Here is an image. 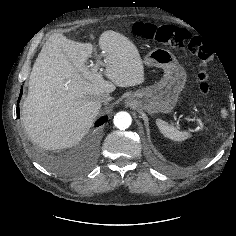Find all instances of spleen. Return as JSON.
Returning a JSON list of instances; mask_svg holds the SVG:
<instances>
[{
  "mask_svg": "<svg viewBox=\"0 0 236 236\" xmlns=\"http://www.w3.org/2000/svg\"><path fill=\"white\" fill-rule=\"evenodd\" d=\"M222 116L225 118L227 111L225 108L221 110ZM156 125L162 135L172 141L182 142L191 138V134L188 131H180L172 125H169L167 122L161 119H156Z\"/></svg>",
  "mask_w": 236,
  "mask_h": 236,
  "instance_id": "obj_1",
  "label": "spleen"
}]
</instances>
